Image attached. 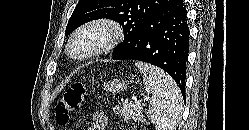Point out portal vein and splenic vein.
Here are the masks:
<instances>
[{
    "instance_id": "1",
    "label": "portal vein and splenic vein",
    "mask_w": 249,
    "mask_h": 130,
    "mask_svg": "<svg viewBox=\"0 0 249 130\" xmlns=\"http://www.w3.org/2000/svg\"><path fill=\"white\" fill-rule=\"evenodd\" d=\"M147 99H144V101ZM135 104L139 105L142 103V100H137L136 98H134Z\"/></svg>"
}]
</instances>
